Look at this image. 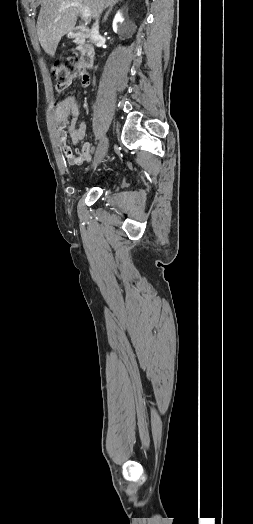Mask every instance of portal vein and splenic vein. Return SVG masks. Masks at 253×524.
Wrapping results in <instances>:
<instances>
[{
    "label": "portal vein and splenic vein",
    "instance_id": "1",
    "mask_svg": "<svg viewBox=\"0 0 253 524\" xmlns=\"http://www.w3.org/2000/svg\"><path fill=\"white\" fill-rule=\"evenodd\" d=\"M69 7H76L78 9V11L81 12L82 18L84 20H87V19H89L91 17L90 8L87 7V6H84L82 3H79V2L75 1V2L63 5L61 9H67Z\"/></svg>",
    "mask_w": 253,
    "mask_h": 524
}]
</instances>
